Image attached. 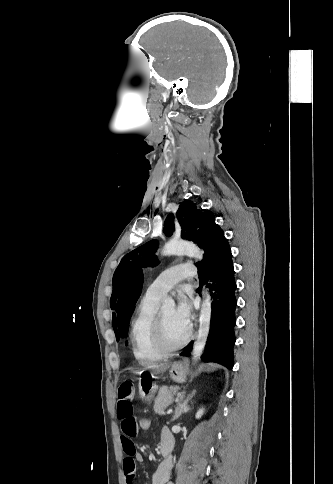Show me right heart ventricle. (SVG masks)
Segmentation results:
<instances>
[{
	"mask_svg": "<svg viewBox=\"0 0 333 484\" xmlns=\"http://www.w3.org/2000/svg\"><path fill=\"white\" fill-rule=\"evenodd\" d=\"M158 301L159 298L145 295L131 322L130 341L133 354L142 365L153 364L164 357L153 340V324Z\"/></svg>",
	"mask_w": 333,
	"mask_h": 484,
	"instance_id": "obj_1",
	"label": "right heart ventricle"
}]
</instances>
